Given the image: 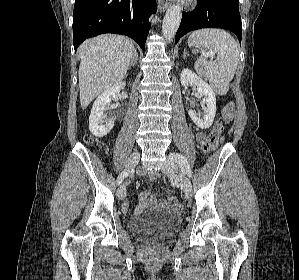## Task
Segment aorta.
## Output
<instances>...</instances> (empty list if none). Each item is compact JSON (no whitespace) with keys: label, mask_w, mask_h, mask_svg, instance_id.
<instances>
[{"label":"aorta","mask_w":299,"mask_h":280,"mask_svg":"<svg viewBox=\"0 0 299 280\" xmlns=\"http://www.w3.org/2000/svg\"><path fill=\"white\" fill-rule=\"evenodd\" d=\"M182 18L181 7L179 5H171L166 11L162 23V34L167 41L174 38Z\"/></svg>","instance_id":"aorta-1"}]
</instances>
